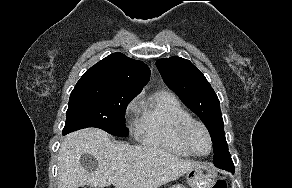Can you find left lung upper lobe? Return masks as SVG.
<instances>
[{
  "mask_svg": "<svg viewBox=\"0 0 292 188\" xmlns=\"http://www.w3.org/2000/svg\"><path fill=\"white\" fill-rule=\"evenodd\" d=\"M156 66L166 85L209 130L214 150L213 163H224L231 158L219 100L205 76L189 60L181 57L159 59ZM232 168L233 166H228V169Z\"/></svg>",
  "mask_w": 292,
  "mask_h": 188,
  "instance_id": "obj_1",
  "label": "left lung upper lobe"
}]
</instances>
